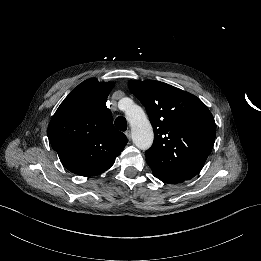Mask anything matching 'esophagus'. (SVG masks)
<instances>
[{"label": "esophagus", "mask_w": 261, "mask_h": 261, "mask_svg": "<svg viewBox=\"0 0 261 261\" xmlns=\"http://www.w3.org/2000/svg\"><path fill=\"white\" fill-rule=\"evenodd\" d=\"M125 135H126V137L128 138V140L130 141V140H131V131H130V130H127V131L125 132Z\"/></svg>", "instance_id": "34e87169"}]
</instances>
